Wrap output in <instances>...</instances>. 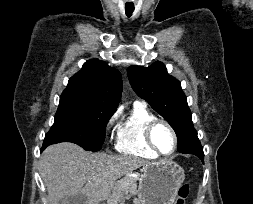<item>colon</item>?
<instances>
[{
  "label": "colon",
  "mask_w": 253,
  "mask_h": 204,
  "mask_svg": "<svg viewBox=\"0 0 253 204\" xmlns=\"http://www.w3.org/2000/svg\"><path fill=\"white\" fill-rule=\"evenodd\" d=\"M190 194V186L188 184H183L177 194V198L174 204H186V200Z\"/></svg>",
  "instance_id": "5ec220e1"
}]
</instances>
